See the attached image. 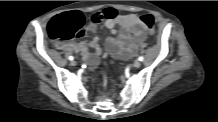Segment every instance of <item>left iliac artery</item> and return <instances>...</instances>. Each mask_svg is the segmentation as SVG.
Wrapping results in <instances>:
<instances>
[{"label": "left iliac artery", "instance_id": "44dca946", "mask_svg": "<svg viewBox=\"0 0 218 122\" xmlns=\"http://www.w3.org/2000/svg\"><path fill=\"white\" fill-rule=\"evenodd\" d=\"M138 60H139V61H143V60H144V57H143V56H140V57L138 58Z\"/></svg>", "mask_w": 218, "mask_h": 122}]
</instances>
